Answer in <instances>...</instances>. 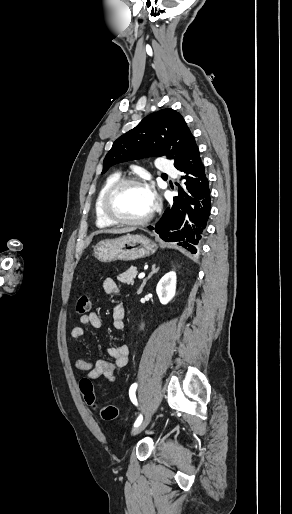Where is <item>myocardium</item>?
<instances>
[{"instance_id":"obj_1","label":"myocardium","mask_w":292,"mask_h":514,"mask_svg":"<svg viewBox=\"0 0 292 514\" xmlns=\"http://www.w3.org/2000/svg\"><path fill=\"white\" fill-rule=\"evenodd\" d=\"M128 186L143 187V184L141 183L140 180H138L137 178H134V177L120 178L117 181L113 182L109 187L106 188V190L102 194L101 201H100L101 212L113 224L126 225V226L142 225V224L146 223L152 217L153 212H154V205L151 207V209L145 216L138 218V219H133V220L120 218L119 216L114 214L110 209L109 201H110L111 196L117 190H119L123 187H128Z\"/></svg>"}]
</instances>
